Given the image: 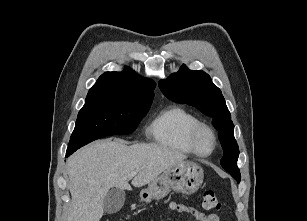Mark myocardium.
Listing matches in <instances>:
<instances>
[{"instance_id":"f54148a6","label":"myocardium","mask_w":307,"mask_h":221,"mask_svg":"<svg viewBox=\"0 0 307 221\" xmlns=\"http://www.w3.org/2000/svg\"><path fill=\"white\" fill-rule=\"evenodd\" d=\"M201 133H207L212 139V147L208 152H203L200 150L198 146V138ZM187 142L190 146L193 153L201 157H208L210 156L216 149L217 146V136L215 131L211 126L206 123L199 122L198 124L194 125L188 133Z\"/></svg>"}]
</instances>
